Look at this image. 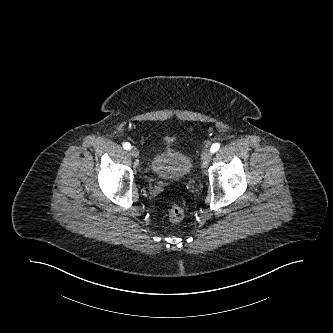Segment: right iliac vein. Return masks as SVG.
Instances as JSON below:
<instances>
[{"mask_svg":"<svg viewBox=\"0 0 333 333\" xmlns=\"http://www.w3.org/2000/svg\"><path fill=\"white\" fill-rule=\"evenodd\" d=\"M129 154L132 156V157H137L139 155V151L136 147H131L130 150H129Z\"/></svg>","mask_w":333,"mask_h":333,"instance_id":"right-iliac-vein-1","label":"right iliac vein"}]
</instances>
